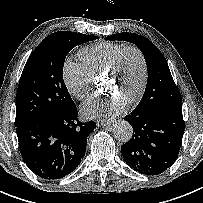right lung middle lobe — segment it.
<instances>
[{
  "instance_id": "right-lung-middle-lobe-1",
  "label": "right lung middle lobe",
  "mask_w": 203,
  "mask_h": 203,
  "mask_svg": "<svg viewBox=\"0 0 203 203\" xmlns=\"http://www.w3.org/2000/svg\"><path fill=\"white\" fill-rule=\"evenodd\" d=\"M97 38L59 31L47 36L37 46L28 58L19 81L16 127L75 105L63 80L65 58L75 46Z\"/></svg>"
}]
</instances>
